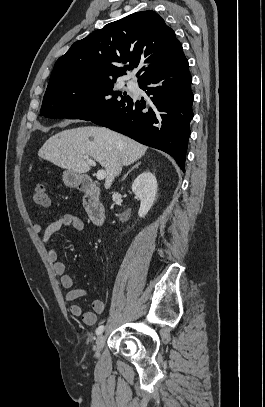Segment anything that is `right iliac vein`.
Returning a JSON list of instances; mask_svg holds the SVG:
<instances>
[{"mask_svg": "<svg viewBox=\"0 0 265 407\" xmlns=\"http://www.w3.org/2000/svg\"><path fill=\"white\" fill-rule=\"evenodd\" d=\"M104 343H105V336L103 334H100L96 340V346H95L96 356L99 355L100 350L102 349Z\"/></svg>", "mask_w": 265, "mask_h": 407, "instance_id": "obj_1", "label": "right iliac vein"}]
</instances>
